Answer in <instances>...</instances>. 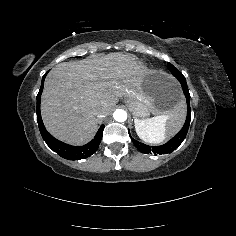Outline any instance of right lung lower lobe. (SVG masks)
Segmentation results:
<instances>
[{"instance_id": "1", "label": "right lung lower lobe", "mask_w": 236, "mask_h": 236, "mask_svg": "<svg viewBox=\"0 0 236 236\" xmlns=\"http://www.w3.org/2000/svg\"><path fill=\"white\" fill-rule=\"evenodd\" d=\"M46 74L44 75V77L42 79V84H41L39 93L37 95V122H38L40 133H41L44 141L59 156L65 158V159H68V160H80V159H84V158L91 156L93 153L96 152V150L98 149V146L101 142L103 130L105 127L104 125H101V127L99 128L94 139L84 146H71L66 143H63V142L55 139L46 130V128L43 124L42 118H41V114H40V96H41V93L43 90L44 79H45Z\"/></svg>"}]
</instances>
